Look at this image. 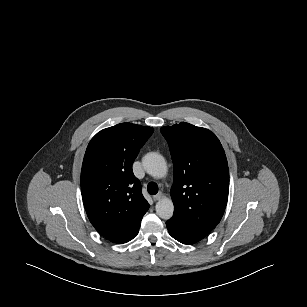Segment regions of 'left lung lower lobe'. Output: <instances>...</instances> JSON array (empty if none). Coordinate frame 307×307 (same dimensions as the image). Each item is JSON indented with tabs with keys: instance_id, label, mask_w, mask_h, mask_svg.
<instances>
[{
	"instance_id": "1",
	"label": "left lung lower lobe",
	"mask_w": 307,
	"mask_h": 307,
	"mask_svg": "<svg viewBox=\"0 0 307 307\" xmlns=\"http://www.w3.org/2000/svg\"><path fill=\"white\" fill-rule=\"evenodd\" d=\"M166 226L169 234L183 244H194L204 238L201 235L191 232L173 218L166 223Z\"/></svg>"
}]
</instances>
